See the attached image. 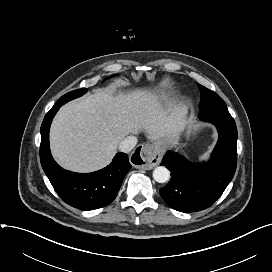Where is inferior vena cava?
Listing matches in <instances>:
<instances>
[{"label": "inferior vena cava", "instance_id": "inferior-vena-cava-1", "mask_svg": "<svg viewBox=\"0 0 272 272\" xmlns=\"http://www.w3.org/2000/svg\"><path fill=\"white\" fill-rule=\"evenodd\" d=\"M137 144V138L128 136L119 144V150L124 153H129Z\"/></svg>", "mask_w": 272, "mask_h": 272}]
</instances>
